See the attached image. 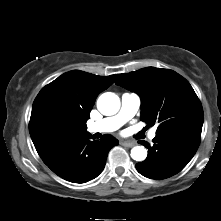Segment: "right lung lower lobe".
I'll return each instance as SVG.
<instances>
[{
	"label": "right lung lower lobe",
	"mask_w": 221,
	"mask_h": 221,
	"mask_svg": "<svg viewBox=\"0 0 221 221\" xmlns=\"http://www.w3.org/2000/svg\"><path fill=\"white\" fill-rule=\"evenodd\" d=\"M90 134L68 137L47 143L37 152L43 162L61 178L73 183H85L103 170L107 154L118 141L104 135L100 141H90Z\"/></svg>",
	"instance_id": "1"
}]
</instances>
